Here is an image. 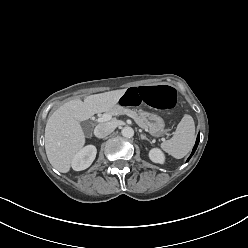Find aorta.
Returning <instances> with one entry per match:
<instances>
[{
	"mask_svg": "<svg viewBox=\"0 0 248 248\" xmlns=\"http://www.w3.org/2000/svg\"><path fill=\"white\" fill-rule=\"evenodd\" d=\"M121 133L125 138H131L134 136V130L129 126L124 127L121 130Z\"/></svg>",
	"mask_w": 248,
	"mask_h": 248,
	"instance_id": "obj_1",
	"label": "aorta"
}]
</instances>
